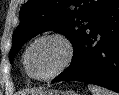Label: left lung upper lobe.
Returning a JSON list of instances; mask_svg holds the SVG:
<instances>
[{
    "label": "left lung upper lobe",
    "instance_id": "1",
    "mask_svg": "<svg viewBox=\"0 0 119 95\" xmlns=\"http://www.w3.org/2000/svg\"><path fill=\"white\" fill-rule=\"evenodd\" d=\"M110 1L28 0L20 9V24L13 34L10 62L27 40L49 30L64 34L75 52L96 15Z\"/></svg>",
    "mask_w": 119,
    "mask_h": 95
}]
</instances>
